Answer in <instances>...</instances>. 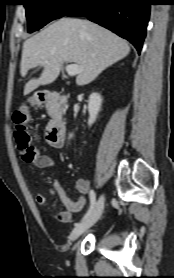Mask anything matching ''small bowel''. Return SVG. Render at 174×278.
<instances>
[{
    "label": "small bowel",
    "mask_w": 174,
    "mask_h": 278,
    "mask_svg": "<svg viewBox=\"0 0 174 278\" xmlns=\"http://www.w3.org/2000/svg\"><path fill=\"white\" fill-rule=\"evenodd\" d=\"M30 164L36 168H52L55 167V161L47 156L38 154L36 159ZM75 188L80 193V197L77 201H73L65 192L61 182L57 177H54L52 183L48 189L49 195H57L64 205L65 210L60 211L55 215V218L62 223L70 222L74 213L80 212L85 205V195L90 192V184L87 179L79 178L75 182ZM35 201L37 204L43 206L46 203L45 195L38 193L35 195Z\"/></svg>",
    "instance_id": "1"
}]
</instances>
